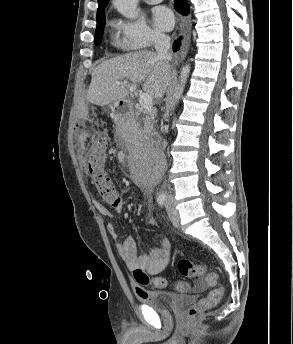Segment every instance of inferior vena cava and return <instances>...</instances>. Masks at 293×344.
<instances>
[{"label": "inferior vena cava", "instance_id": "obj_1", "mask_svg": "<svg viewBox=\"0 0 293 344\" xmlns=\"http://www.w3.org/2000/svg\"><path fill=\"white\" fill-rule=\"evenodd\" d=\"M153 41L157 56L166 64H169V61L172 59V54L170 52V37L164 33L155 32Z\"/></svg>", "mask_w": 293, "mask_h": 344}]
</instances>
